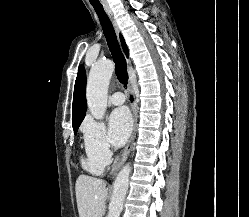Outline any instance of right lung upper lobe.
I'll use <instances>...</instances> for the list:
<instances>
[{"instance_id":"cb5924a9","label":"right lung upper lobe","mask_w":249,"mask_h":217,"mask_svg":"<svg viewBox=\"0 0 249 217\" xmlns=\"http://www.w3.org/2000/svg\"><path fill=\"white\" fill-rule=\"evenodd\" d=\"M121 44L125 54L128 56V48L120 35ZM86 73L82 65L78 68V74L74 86L73 107H72V125H80L86 115Z\"/></svg>"}]
</instances>
